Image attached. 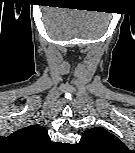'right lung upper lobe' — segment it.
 Returning a JSON list of instances; mask_svg holds the SVG:
<instances>
[{"instance_id":"obj_1","label":"right lung upper lobe","mask_w":135,"mask_h":153,"mask_svg":"<svg viewBox=\"0 0 135 153\" xmlns=\"http://www.w3.org/2000/svg\"><path fill=\"white\" fill-rule=\"evenodd\" d=\"M14 134L25 141L36 144H42L50 140L46 129L38 125H30L16 131Z\"/></svg>"}]
</instances>
